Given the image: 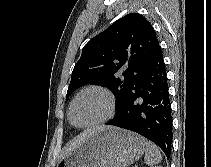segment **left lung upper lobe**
I'll return each instance as SVG.
<instances>
[{"instance_id":"5c2ea615","label":"left lung upper lobe","mask_w":211,"mask_h":167,"mask_svg":"<svg viewBox=\"0 0 211 167\" xmlns=\"http://www.w3.org/2000/svg\"><path fill=\"white\" fill-rule=\"evenodd\" d=\"M160 48L151 24L140 14L130 13L92 38L82 49L66 95L90 83L107 87L116 95L118 111L126 94ZM122 73V79L116 78Z\"/></svg>"}]
</instances>
